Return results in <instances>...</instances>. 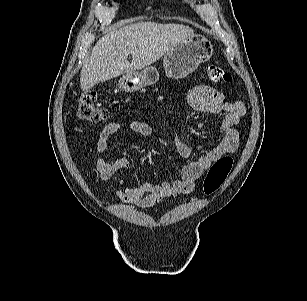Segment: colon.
Wrapping results in <instances>:
<instances>
[{"mask_svg":"<svg viewBox=\"0 0 307 301\" xmlns=\"http://www.w3.org/2000/svg\"><path fill=\"white\" fill-rule=\"evenodd\" d=\"M208 74L211 81L215 83H228L231 80L230 74L217 65L209 66ZM78 114L82 120L91 123L104 121L108 117L107 110L97 102V94L93 91L81 94L78 102ZM232 165L233 159L231 157L222 156L210 166L203 182L205 194L211 195L220 188L230 173Z\"/></svg>","mask_w":307,"mask_h":301,"instance_id":"5ec220e1","label":"colon"}]
</instances>
